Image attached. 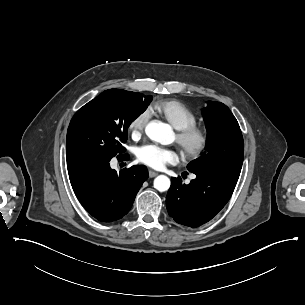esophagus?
<instances>
[{
  "label": "esophagus",
  "mask_w": 305,
  "mask_h": 305,
  "mask_svg": "<svg viewBox=\"0 0 305 305\" xmlns=\"http://www.w3.org/2000/svg\"><path fill=\"white\" fill-rule=\"evenodd\" d=\"M158 175V173L152 171V170H149V177L150 178H153V177H156Z\"/></svg>",
  "instance_id": "34e87169"
}]
</instances>
